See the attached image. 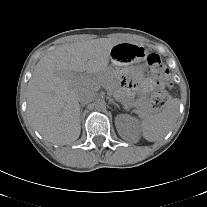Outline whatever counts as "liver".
Masks as SVG:
<instances>
[{
  "mask_svg": "<svg viewBox=\"0 0 207 207\" xmlns=\"http://www.w3.org/2000/svg\"><path fill=\"white\" fill-rule=\"evenodd\" d=\"M119 42L98 38L58 46L37 63L28 83L27 115L48 142L65 145L79 138L81 88L95 90L90 78L74 82L76 73L107 70L112 48Z\"/></svg>",
  "mask_w": 207,
  "mask_h": 207,
  "instance_id": "6515ba94",
  "label": "liver"
}]
</instances>
